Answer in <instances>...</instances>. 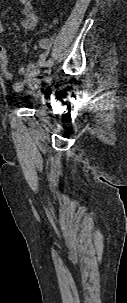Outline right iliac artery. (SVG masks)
Instances as JSON below:
<instances>
[{
  "mask_svg": "<svg viewBox=\"0 0 127 303\" xmlns=\"http://www.w3.org/2000/svg\"><path fill=\"white\" fill-rule=\"evenodd\" d=\"M52 64H53L52 59H49L44 65L45 70L50 68L52 66Z\"/></svg>",
  "mask_w": 127,
  "mask_h": 303,
  "instance_id": "82829eb1",
  "label": "right iliac artery"
}]
</instances>
